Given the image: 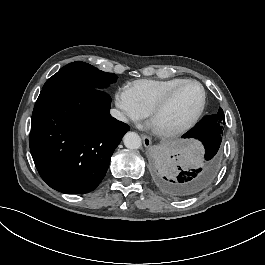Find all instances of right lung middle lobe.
I'll use <instances>...</instances> for the list:
<instances>
[{
    "instance_id": "right-lung-middle-lobe-1",
    "label": "right lung middle lobe",
    "mask_w": 265,
    "mask_h": 265,
    "mask_svg": "<svg viewBox=\"0 0 265 265\" xmlns=\"http://www.w3.org/2000/svg\"><path fill=\"white\" fill-rule=\"evenodd\" d=\"M116 79L117 76L113 73H106L85 62L76 61L64 66L49 78L43 90L103 89L116 82Z\"/></svg>"
}]
</instances>
